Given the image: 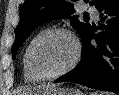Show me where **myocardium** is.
<instances>
[{
	"mask_svg": "<svg viewBox=\"0 0 119 95\" xmlns=\"http://www.w3.org/2000/svg\"><path fill=\"white\" fill-rule=\"evenodd\" d=\"M57 34H63L72 39L75 45V54H74L72 61L65 68L53 74H46L38 68L36 61H35V53H36L38 46L41 44L42 41H44L45 39L53 35H57ZM81 54H82L81 43L79 39L77 38V36L72 31L65 29V28H60V27L52 28V29H48L45 32H43L34 40L29 50L28 62H29V66L31 70L36 76H38L39 78L43 80H52V79L59 78L69 73L70 71H72L78 65L81 59Z\"/></svg>",
	"mask_w": 119,
	"mask_h": 95,
	"instance_id": "1",
	"label": "myocardium"
}]
</instances>
